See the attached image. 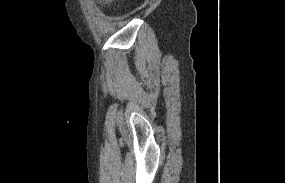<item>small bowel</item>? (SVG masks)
I'll list each match as a JSON object with an SVG mask.
<instances>
[{"label":"small bowel","mask_w":285,"mask_h":183,"mask_svg":"<svg viewBox=\"0 0 285 183\" xmlns=\"http://www.w3.org/2000/svg\"><path fill=\"white\" fill-rule=\"evenodd\" d=\"M104 4L110 2L111 0H102Z\"/></svg>","instance_id":"1"}]
</instances>
